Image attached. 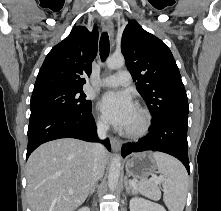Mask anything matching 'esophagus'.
<instances>
[{
    "label": "esophagus",
    "instance_id": "1",
    "mask_svg": "<svg viewBox=\"0 0 221 211\" xmlns=\"http://www.w3.org/2000/svg\"><path fill=\"white\" fill-rule=\"evenodd\" d=\"M102 27L105 31L109 33L110 37L113 38L114 27H113L112 21L110 19H103ZM110 143H111L112 149L114 150H118L121 147V142L114 137H110Z\"/></svg>",
    "mask_w": 221,
    "mask_h": 211
}]
</instances>
